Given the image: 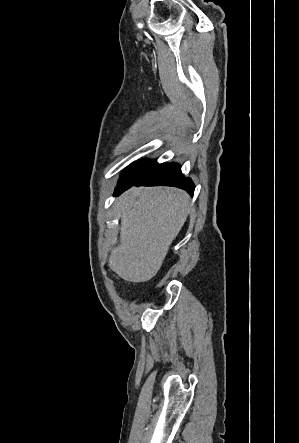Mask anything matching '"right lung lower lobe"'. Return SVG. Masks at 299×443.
<instances>
[{
  "instance_id": "98d812e1",
  "label": "right lung lower lobe",
  "mask_w": 299,
  "mask_h": 443,
  "mask_svg": "<svg viewBox=\"0 0 299 443\" xmlns=\"http://www.w3.org/2000/svg\"><path fill=\"white\" fill-rule=\"evenodd\" d=\"M131 186H174L187 190L190 195H193L195 188L190 178H184L181 167L177 163L157 164L136 181L117 185L114 195L121 194Z\"/></svg>"
}]
</instances>
